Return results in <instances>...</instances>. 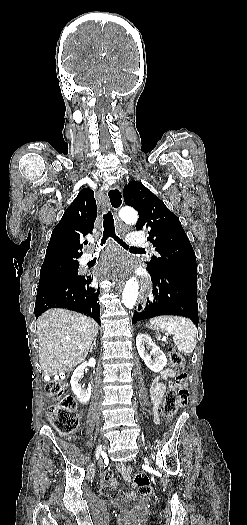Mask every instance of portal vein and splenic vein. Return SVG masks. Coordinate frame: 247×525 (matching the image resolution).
<instances>
[{"label":"portal vein and splenic vein","instance_id":"portal-vein-and-splenic-vein-1","mask_svg":"<svg viewBox=\"0 0 247 525\" xmlns=\"http://www.w3.org/2000/svg\"><path fill=\"white\" fill-rule=\"evenodd\" d=\"M167 335H163V338H161V341H166ZM82 348V345H79V349Z\"/></svg>","mask_w":247,"mask_h":525}]
</instances>
